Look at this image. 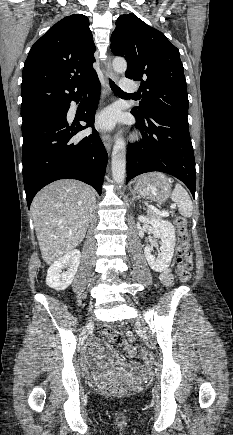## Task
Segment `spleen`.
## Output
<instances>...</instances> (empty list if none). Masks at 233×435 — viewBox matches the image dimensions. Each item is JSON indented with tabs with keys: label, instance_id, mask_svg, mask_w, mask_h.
I'll return each mask as SVG.
<instances>
[{
	"label": "spleen",
	"instance_id": "spleen-1",
	"mask_svg": "<svg viewBox=\"0 0 233 435\" xmlns=\"http://www.w3.org/2000/svg\"><path fill=\"white\" fill-rule=\"evenodd\" d=\"M171 199L178 205V211L182 216L190 217L192 215V201L187 191L180 184L175 185Z\"/></svg>",
	"mask_w": 233,
	"mask_h": 435
}]
</instances>
